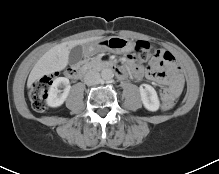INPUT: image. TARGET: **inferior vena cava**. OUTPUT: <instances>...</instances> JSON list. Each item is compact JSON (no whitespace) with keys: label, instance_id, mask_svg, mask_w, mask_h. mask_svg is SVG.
<instances>
[{"label":"inferior vena cava","instance_id":"1","mask_svg":"<svg viewBox=\"0 0 219 174\" xmlns=\"http://www.w3.org/2000/svg\"><path fill=\"white\" fill-rule=\"evenodd\" d=\"M100 80H101L100 74L96 71H89L84 77V82L87 85H96L100 83Z\"/></svg>","mask_w":219,"mask_h":174}]
</instances>
